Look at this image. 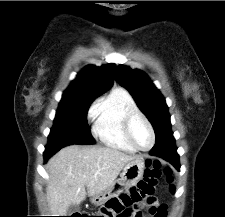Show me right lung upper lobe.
Returning a JSON list of instances; mask_svg holds the SVG:
<instances>
[{
    "mask_svg": "<svg viewBox=\"0 0 225 217\" xmlns=\"http://www.w3.org/2000/svg\"><path fill=\"white\" fill-rule=\"evenodd\" d=\"M116 66L113 64L96 67L86 66L63 93V97H98L108 91L114 81Z\"/></svg>",
    "mask_w": 225,
    "mask_h": 217,
    "instance_id": "1",
    "label": "right lung upper lobe"
}]
</instances>
